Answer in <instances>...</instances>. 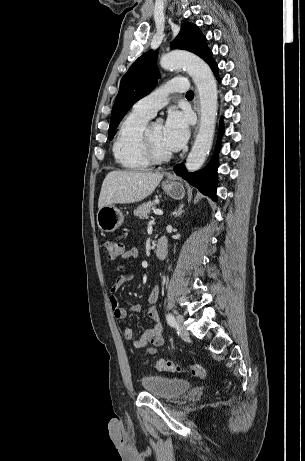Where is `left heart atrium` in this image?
I'll use <instances>...</instances> for the list:
<instances>
[{"mask_svg":"<svg viewBox=\"0 0 305 461\" xmlns=\"http://www.w3.org/2000/svg\"><path fill=\"white\" fill-rule=\"evenodd\" d=\"M190 135V117L187 113L172 111L163 127V142L166 148L175 152L184 147Z\"/></svg>","mask_w":305,"mask_h":461,"instance_id":"obj_1","label":"left heart atrium"}]
</instances>
